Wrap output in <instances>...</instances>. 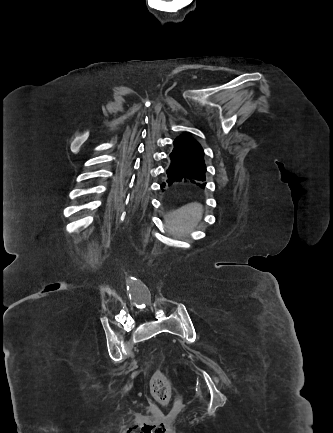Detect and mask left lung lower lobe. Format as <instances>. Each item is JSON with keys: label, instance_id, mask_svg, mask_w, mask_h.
Here are the masks:
<instances>
[{"label": "left lung lower lobe", "instance_id": "0a47b994", "mask_svg": "<svg viewBox=\"0 0 333 433\" xmlns=\"http://www.w3.org/2000/svg\"><path fill=\"white\" fill-rule=\"evenodd\" d=\"M174 148L169 154V166L167 167V183L182 180H205L206 165L204 155L190 145L175 139Z\"/></svg>", "mask_w": 333, "mask_h": 433}]
</instances>
